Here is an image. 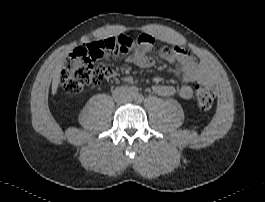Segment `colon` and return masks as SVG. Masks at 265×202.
<instances>
[{"label":"colon","instance_id":"colon-1","mask_svg":"<svg viewBox=\"0 0 265 202\" xmlns=\"http://www.w3.org/2000/svg\"><path fill=\"white\" fill-rule=\"evenodd\" d=\"M149 39L145 34L137 37L114 35L91 43V55L72 54L66 59L59 76L62 88L70 94H77L86 86L113 81L117 77L116 69L95 65L93 58L102 53H128L135 49H144L150 54L153 46L146 43ZM194 89L200 108L208 109L214 104L216 92L212 86L196 85Z\"/></svg>","mask_w":265,"mask_h":202}]
</instances>
